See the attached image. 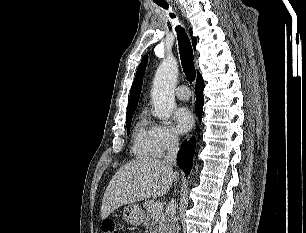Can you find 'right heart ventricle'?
Wrapping results in <instances>:
<instances>
[{
    "label": "right heart ventricle",
    "instance_id": "e07e8e85",
    "mask_svg": "<svg viewBox=\"0 0 306 233\" xmlns=\"http://www.w3.org/2000/svg\"><path fill=\"white\" fill-rule=\"evenodd\" d=\"M131 151L138 158H147L152 155L151 125L144 114L134 125Z\"/></svg>",
    "mask_w": 306,
    "mask_h": 233
}]
</instances>
